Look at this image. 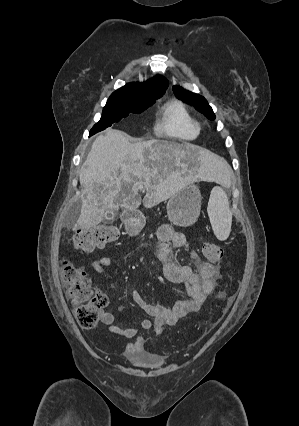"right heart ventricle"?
Masks as SVG:
<instances>
[{"mask_svg": "<svg viewBox=\"0 0 299 426\" xmlns=\"http://www.w3.org/2000/svg\"><path fill=\"white\" fill-rule=\"evenodd\" d=\"M157 131L171 138L193 140L200 134V125L183 103L173 100L162 107Z\"/></svg>", "mask_w": 299, "mask_h": 426, "instance_id": "obj_1", "label": "right heart ventricle"}]
</instances>
